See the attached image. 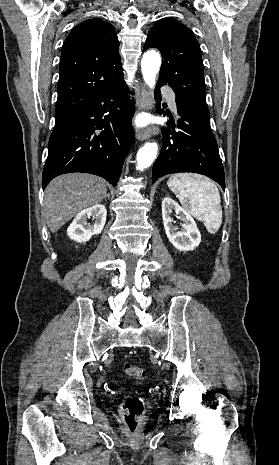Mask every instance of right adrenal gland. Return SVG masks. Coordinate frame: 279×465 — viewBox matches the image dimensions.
I'll return each mask as SVG.
<instances>
[{"instance_id":"1","label":"right adrenal gland","mask_w":279,"mask_h":465,"mask_svg":"<svg viewBox=\"0 0 279 465\" xmlns=\"http://www.w3.org/2000/svg\"><path fill=\"white\" fill-rule=\"evenodd\" d=\"M105 198H107V199H110V194H109V193H107V195H106V197H105Z\"/></svg>"}]
</instances>
